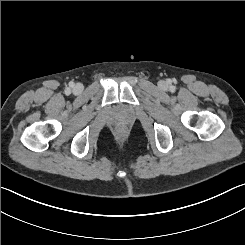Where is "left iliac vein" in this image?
Here are the masks:
<instances>
[{
	"mask_svg": "<svg viewBox=\"0 0 245 245\" xmlns=\"http://www.w3.org/2000/svg\"><path fill=\"white\" fill-rule=\"evenodd\" d=\"M159 87L160 88H165V83L164 82H160Z\"/></svg>",
	"mask_w": 245,
	"mask_h": 245,
	"instance_id": "obj_1",
	"label": "left iliac vein"
}]
</instances>
